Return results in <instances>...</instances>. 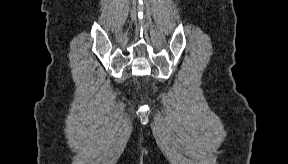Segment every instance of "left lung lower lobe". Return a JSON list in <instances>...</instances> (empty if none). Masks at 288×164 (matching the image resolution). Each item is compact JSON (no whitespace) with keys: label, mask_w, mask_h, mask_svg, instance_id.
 Segmentation results:
<instances>
[{"label":"left lung lower lobe","mask_w":288,"mask_h":164,"mask_svg":"<svg viewBox=\"0 0 288 164\" xmlns=\"http://www.w3.org/2000/svg\"><path fill=\"white\" fill-rule=\"evenodd\" d=\"M250 78L255 79V87L257 90H261L265 86L266 77L260 70H257L256 73L249 74L248 79Z\"/></svg>","instance_id":"obj_1"}]
</instances>
